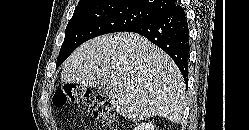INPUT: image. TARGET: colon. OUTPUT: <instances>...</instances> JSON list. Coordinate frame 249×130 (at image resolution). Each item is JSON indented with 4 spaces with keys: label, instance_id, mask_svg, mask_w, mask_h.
<instances>
[{
    "label": "colon",
    "instance_id": "obj_1",
    "mask_svg": "<svg viewBox=\"0 0 249 130\" xmlns=\"http://www.w3.org/2000/svg\"><path fill=\"white\" fill-rule=\"evenodd\" d=\"M52 102L57 108L68 104L81 106L100 122L101 130H117V119L110 102L90 89L65 83L56 89Z\"/></svg>",
    "mask_w": 249,
    "mask_h": 130
}]
</instances>
